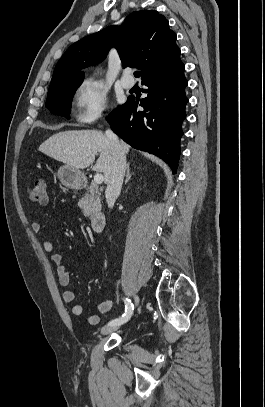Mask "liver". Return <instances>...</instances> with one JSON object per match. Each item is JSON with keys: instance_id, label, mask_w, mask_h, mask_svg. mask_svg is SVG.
Instances as JSON below:
<instances>
[{"instance_id": "1", "label": "liver", "mask_w": 265, "mask_h": 407, "mask_svg": "<svg viewBox=\"0 0 265 407\" xmlns=\"http://www.w3.org/2000/svg\"><path fill=\"white\" fill-rule=\"evenodd\" d=\"M124 154L129 152V145L121 143ZM39 151L49 157L76 169H85L92 165L99 153L93 170L102 172L104 180L110 176L112 169V151L105 134L97 130H73L59 132L44 141Z\"/></svg>"}]
</instances>
